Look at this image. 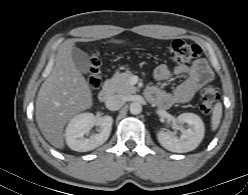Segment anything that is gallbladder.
I'll return each mask as SVG.
<instances>
[{
  "instance_id": "obj_1",
  "label": "gallbladder",
  "mask_w": 248,
  "mask_h": 195,
  "mask_svg": "<svg viewBox=\"0 0 248 195\" xmlns=\"http://www.w3.org/2000/svg\"><path fill=\"white\" fill-rule=\"evenodd\" d=\"M71 55L76 68L81 73H88L90 68V60L88 54L82 51L81 49L74 47L72 49Z\"/></svg>"
}]
</instances>
